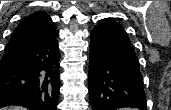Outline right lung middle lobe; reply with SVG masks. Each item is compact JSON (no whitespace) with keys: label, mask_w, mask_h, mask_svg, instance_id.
I'll use <instances>...</instances> for the list:
<instances>
[{"label":"right lung middle lobe","mask_w":171,"mask_h":110,"mask_svg":"<svg viewBox=\"0 0 171 110\" xmlns=\"http://www.w3.org/2000/svg\"><path fill=\"white\" fill-rule=\"evenodd\" d=\"M18 60H19L18 55L4 56V57H2V59L0 61V69L12 65L13 63H15Z\"/></svg>","instance_id":"dd1d6c3e"}]
</instances>
